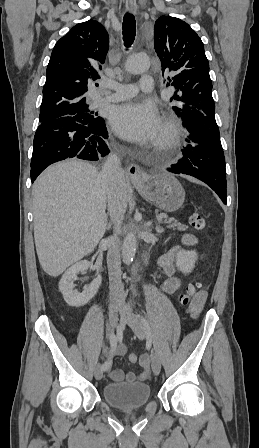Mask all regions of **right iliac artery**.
Returning a JSON list of instances; mask_svg holds the SVG:
<instances>
[{"instance_id":"right-iliac-artery-1","label":"right iliac artery","mask_w":259,"mask_h":448,"mask_svg":"<svg viewBox=\"0 0 259 448\" xmlns=\"http://www.w3.org/2000/svg\"><path fill=\"white\" fill-rule=\"evenodd\" d=\"M109 340H110L111 348L112 349L115 348V346L117 344V339H116V336H115V334L113 332H111L109 334ZM110 366H111V361L108 360L101 366V369H102V371H106V370H108L110 368Z\"/></svg>"}]
</instances>
